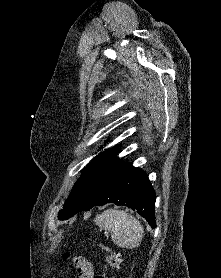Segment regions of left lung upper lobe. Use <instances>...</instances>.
<instances>
[{"label": "left lung upper lobe", "instance_id": "5c2ea615", "mask_svg": "<svg viewBox=\"0 0 221 278\" xmlns=\"http://www.w3.org/2000/svg\"><path fill=\"white\" fill-rule=\"evenodd\" d=\"M117 153V149H110L100 153L92 159V161L87 165L85 171L82 173V176L75 183L71 194L65 201L63 209L59 212L58 217L60 220L67 219V217H69L74 205L87 185L94 178V176L117 155Z\"/></svg>", "mask_w": 221, "mask_h": 278}]
</instances>
